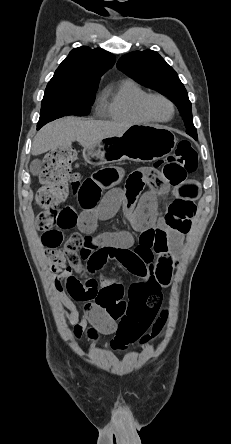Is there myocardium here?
<instances>
[{
  "instance_id": "1",
  "label": "myocardium",
  "mask_w": 231,
  "mask_h": 444,
  "mask_svg": "<svg viewBox=\"0 0 231 444\" xmlns=\"http://www.w3.org/2000/svg\"><path fill=\"white\" fill-rule=\"evenodd\" d=\"M156 98L163 99V100H165L170 105V107H171V115H170L169 118H166V119L158 118L150 110V102L153 99H156ZM140 110H141L142 114L146 118H148L149 120L154 121V122L166 123V122H169L170 120L173 119V117L175 115V112H176V107H175L174 102L168 96H166V95H164L162 93H157L156 92V93H148L142 99L141 104H140Z\"/></svg>"
}]
</instances>
